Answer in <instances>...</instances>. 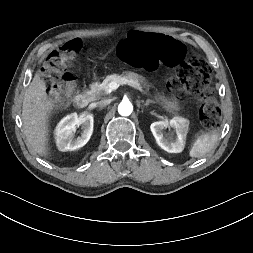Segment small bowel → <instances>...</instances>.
I'll return each instance as SVG.
<instances>
[{"label": "small bowel", "mask_w": 253, "mask_h": 253, "mask_svg": "<svg viewBox=\"0 0 253 253\" xmlns=\"http://www.w3.org/2000/svg\"><path fill=\"white\" fill-rule=\"evenodd\" d=\"M161 36V35H160ZM162 37V36H161ZM163 38V37H162ZM152 62H153V67L156 66L159 63H165L168 64L164 59L162 54L160 53L159 50H156L153 55H152Z\"/></svg>", "instance_id": "c3829d8e"}]
</instances>
